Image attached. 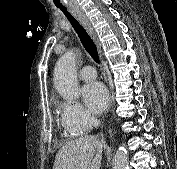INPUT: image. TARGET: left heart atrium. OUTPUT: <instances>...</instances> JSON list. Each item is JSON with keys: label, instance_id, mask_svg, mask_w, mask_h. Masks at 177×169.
<instances>
[{"label": "left heart atrium", "instance_id": "1", "mask_svg": "<svg viewBox=\"0 0 177 169\" xmlns=\"http://www.w3.org/2000/svg\"><path fill=\"white\" fill-rule=\"evenodd\" d=\"M82 98L86 107L93 113H102L108 106L109 94L101 82H92L82 88Z\"/></svg>", "mask_w": 177, "mask_h": 169}]
</instances>
